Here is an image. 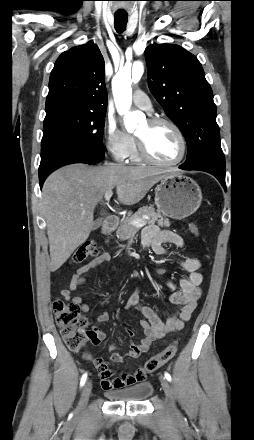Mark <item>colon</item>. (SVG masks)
I'll use <instances>...</instances> for the list:
<instances>
[{"instance_id":"colon-1","label":"colon","mask_w":254,"mask_h":440,"mask_svg":"<svg viewBox=\"0 0 254 440\" xmlns=\"http://www.w3.org/2000/svg\"><path fill=\"white\" fill-rule=\"evenodd\" d=\"M189 232L199 235V227L195 223H191L188 227ZM98 254V248L93 242H85L81 244L72 254L71 261L74 263H82L90 257ZM56 323L60 328L62 338L66 346L71 350H79L86 345L90 338L94 336L92 329L88 328V321L80 314L78 306L72 302H65L57 299L53 303ZM178 346L176 342L168 345L163 351L148 359L144 365L147 373H152L161 366L171 360Z\"/></svg>"}]
</instances>
